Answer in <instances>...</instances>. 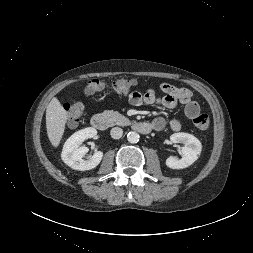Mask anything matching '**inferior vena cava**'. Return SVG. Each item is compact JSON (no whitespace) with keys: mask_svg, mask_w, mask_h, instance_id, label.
<instances>
[{"mask_svg":"<svg viewBox=\"0 0 253 253\" xmlns=\"http://www.w3.org/2000/svg\"><path fill=\"white\" fill-rule=\"evenodd\" d=\"M110 135L113 139H120L123 135V130L119 127H114L111 129Z\"/></svg>","mask_w":253,"mask_h":253,"instance_id":"obj_1","label":"inferior vena cava"}]
</instances>
